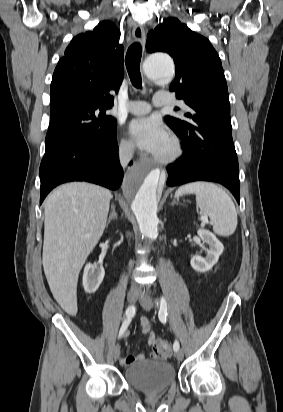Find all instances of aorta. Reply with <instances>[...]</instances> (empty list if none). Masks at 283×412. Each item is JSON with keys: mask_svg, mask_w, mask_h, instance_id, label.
Here are the masks:
<instances>
[{"mask_svg": "<svg viewBox=\"0 0 283 412\" xmlns=\"http://www.w3.org/2000/svg\"><path fill=\"white\" fill-rule=\"evenodd\" d=\"M174 73L173 60L166 54L150 55L144 62V74L155 83L168 82ZM159 180V169L138 168L130 171L123 183V192L132 201L140 232L150 240L158 236L156 210Z\"/></svg>", "mask_w": 283, "mask_h": 412, "instance_id": "obj_1", "label": "aorta"}]
</instances>
